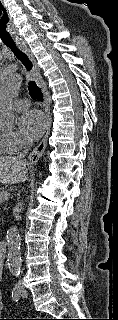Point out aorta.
Listing matches in <instances>:
<instances>
[{"label": "aorta", "instance_id": "762f6f07", "mask_svg": "<svg viewBox=\"0 0 118 320\" xmlns=\"http://www.w3.org/2000/svg\"><path fill=\"white\" fill-rule=\"evenodd\" d=\"M21 83L18 73H8L0 76V130H11L16 123V116L12 110L11 102L15 98ZM7 264L14 276L20 274L22 266L21 238L16 227H11L6 234Z\"/></svg>", "mask_w": 118, "mask_h": 320}]
</instances>
